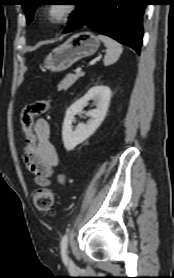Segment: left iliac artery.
I'll use <instances>...</instances> for the list:
<instances>
[{
  "label": "left iliac artery",
  "instance_id": "left-iliac-artery-1",
  "mask_svg": "<svg viewBox=\"0 0 174 278\" xmlns=\"http://www.w3.org/2000/svg\"><path fill=\"white\" fill-rule=\"evenodd\" d=\"M68 245V232L61 239V249L63 252L66 251Z\"/></svg>",
  "mask_w": 174,
  "mask_h": 278
}]
</instances>
